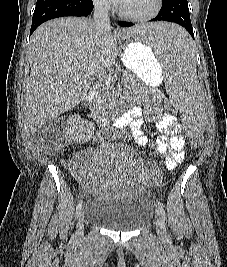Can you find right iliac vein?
Here are the masks:
<instances>
[{"mask_svg": "<svg viewBox=\"0 0 227 267\" xmlns=\"http://www.w3.org/2000/svg\"><path fill=\"white\" fill-rule=\"evenodd\" d=\"M84 236V211L80 212L78 222H77V229H76V237L82 238Z\"/></svg>", "mask_w": 227, "mask_h": 267, "instance_id": "1", "label": "right iliac vein"}]
</instances>
